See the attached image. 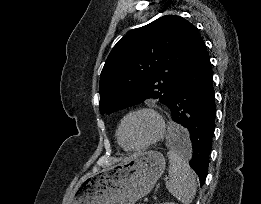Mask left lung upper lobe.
<instances>
[{
    "label": "left lung upper lobe",
    "mask_w": 261,
    "mask_h": 204,
    "mask_svg": "<svg viewBox=\"0 0 261 204\" xmlns=\"http://www.w3.org/2000/svg\"><path fill=\"white\" fill-rule=\"evenodd\" d=\"M198 35L193 24L177 15L160 17L125 35L101 72V114L149 98L168 107Z\"/></svg>",
    "instance_id": "obj_1"
}]
</instances>
